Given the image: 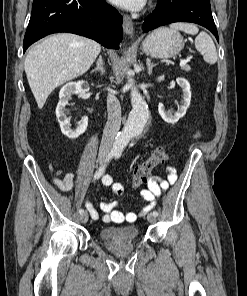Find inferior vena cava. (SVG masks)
<instances>
[{
	"label": "inferior vena cava",
	"mask_w": 247,
	"mask_h": 296,
	"mask_svg": "<svg viewBox=\"0 0 247 296\" xmlns=\"http://www.w3.org/2000/svg\"><path fill=\"white\" fill-rule=\"evenodd\" d=\"M108 120L103 131L100 152H108L116 139L121 126V107L114 93L107 96Z\"/></svg>",
	"instance_id": "inferior-vena-cava-1"
}]
</instances>
